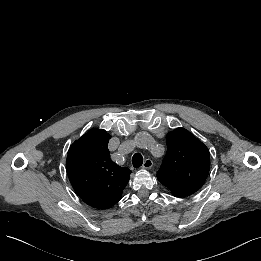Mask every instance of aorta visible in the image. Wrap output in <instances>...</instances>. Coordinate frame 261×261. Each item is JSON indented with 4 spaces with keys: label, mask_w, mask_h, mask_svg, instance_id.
I'll return each mask as SVG.
<instances>
[{
    "label": "aorta",
    "mask_w": 261,
    "mask_h": 261,
    "mask_svg": "<svg viewBox=\"0 0 261 261\" xmlns=\"http://www.w3.org/2000/svg\"><path fill=\"white\" fill-rule=\"evenodd\" d=\"M149 141H150V137L148 135H145L143 140H142V142H141V144H140V146L141 147H146L147 144L149 143Z\"/></svg>",
    "instance_id": "762f6f07"
}]
</instances>
